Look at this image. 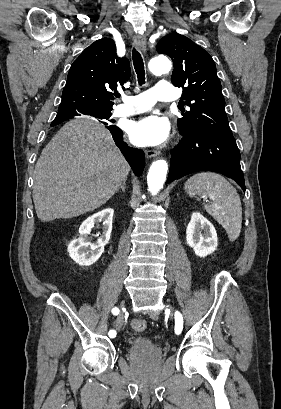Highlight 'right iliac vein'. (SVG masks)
<instances>
[{"mask_svg":"<svg viewBox=\"0 0 281 409\" xmlns=\"http://www.w3.org/2000/svg\"><path fill=\"white\" fill-rule=\"evenodd\" d=\"M120 308H121V309L124 308V303H123V302L120 303ZM123 322H124V315H123V313L121 312V313L117 316V319H116V329H117V330H120V329H121V327H122V325H123Z\"/></svg>","mask_w":281,"mask_h":409,"instance_id":"right-iliac-vein-1","label":"right iliac vein"}]
</instances>
